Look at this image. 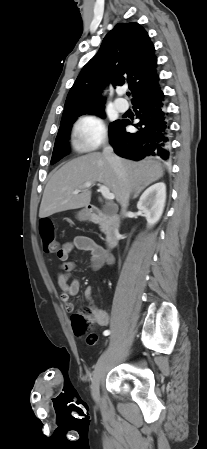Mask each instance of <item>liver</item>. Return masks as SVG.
<instances>
[{"instance_id":"obj_1","label":"liver","mask_w":207,"mask_h":449,"mask_svg":"<svg viewBox=\"0 0 207 449\" xmlns=\"http://www.w3.org/2000/svg\"><path fill=\"white\" fill-rule=\"evenodd\" d=\"M127 176L129 193L142 191L163 176L161 164L150 158L139 162L121 159ZM103 183L122 203V186L112 166L101 153H90L75 158L58 169L48 181L40 209L39 217L46 218L58 212L87 206L91 201V191L83 188L78 194L73 192L86 182Z\"/></svg>"}]
</instances>
